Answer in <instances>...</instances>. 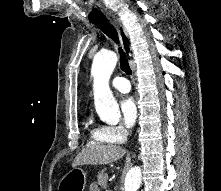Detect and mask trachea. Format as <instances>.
Returning a JSON list of instances; mask_svg holds the SVG:
<instances>
[{
    "label": "trachea",
    "instance_id": "trachea-1",
    "mask_svg": "<svg viewBox=\"0 0 221 191\" xmlns=\"http://www.w3.org/2000/svg\"><path fill=\"white\" fill-rule=\"evenodd\" d=\"M93 24L98 26L104 34H106L109 38L115 41V43L119 44V37L117 34L116 29L113 27V25L106 19V18H100L97 20L91 21ZM119 54H120V67L123 72H125L127 75H131L132 71L130 69L128 60L126 59L125 53L121 47L118 48Z\"/></svg>",
    "mask_w": 221,
    "mask_h": 191
}]
</instances>
